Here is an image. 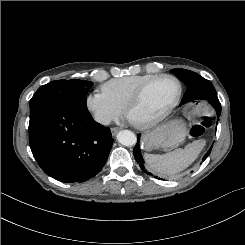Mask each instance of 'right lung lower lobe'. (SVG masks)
<instances>
[{"label":"right lung lower lobe","instance_id":"obj_1","mask_svg":"<svg viewBox=\"0 0 245 245\" xmlns=\"http://www.w3.org/2000/svg\"><path fill=\"white\" fill-rule=\"evenodd\" d=\"M29 143L46 174L72 183L84 182L103 168L113 138L88 110L47 104L30 112Z\"/></svg>","mask_w":245,"mask_h":245}]
</instances>
